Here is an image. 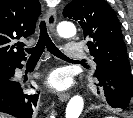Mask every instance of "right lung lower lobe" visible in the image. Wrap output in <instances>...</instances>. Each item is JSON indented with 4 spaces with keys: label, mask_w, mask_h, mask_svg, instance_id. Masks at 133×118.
I'll return each instance as SVG.
<instances>
[{
    "label": "right lung lower lobe",
    "mask_w": 133,
    "mask_h": 118,
    "mask_svg": "<svg viewBox=\"0 0 133 118\" xmlns=\"http://www.w3.org/2000/svg\"><path fill=\"white\" fill-rule=\"evenodd\" d=\"M22 66L21 62L12 66L9 77L0 80V112L17 118H32L38 94H27L24 86L12 79L15 69L22 68Z\"/></svg>",
    "instance_id": "98d812e1"
}]
</instances>
